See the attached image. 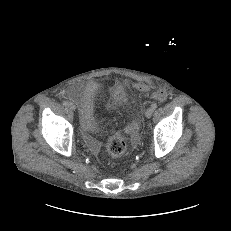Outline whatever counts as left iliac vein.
I'll return each mask as SVG.
<instances>
[{
  "instance_id": "left-iliac-vein-1",
  "label": "left iliac vein",
  "mask_w": 231,
  "mask_h": 231,
  "mask_svg": "<svg viewBox=\"0 0 231 231\" xmlns=\"http://www.w3.org/2000/svg\"><path fill=\"white\" fill-rule=\"evenodd\" d=\"M153 114V109L151 107L147 108L146 112H145V116L146 118H150Z\"/></svg>"
}]
</instances>
